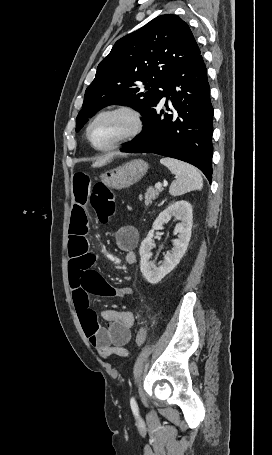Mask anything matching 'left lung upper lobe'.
<instances>
[{
	"label": "left lung upper lobe",
	"instance_id": "1",
	"mask_svg": "<svg viewBox=\"0 0 272 455\" xmlns=\"http://www.w3.org/2000/svg\"><path fill=\"white\" fill-rule=\"evenodd\" d=\"M200 54L189 26L176 15L158 16L119 39L85 91L76 132L111 104L134 108L144 121L162 99L161 89L172 74Z\"/></svg>",
	"mask_w": 272,
	"mask_h": 455
}]
</instances>
